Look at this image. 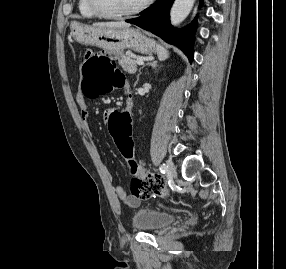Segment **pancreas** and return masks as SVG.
Returning <instances> with one entry per match:
<instances>
[{
    "label": "pancreas",
    "instance_id": "pancreas-1",
    "mask_svg": "<svg viewBox=\"0 0 286 269\" xmlns=\"http://www.w3.org/2000/svg\"><path fill=\"white\" fill-rule=\"evenodd\" d=\"M119 65L123 68L124 71L134 74L137 70V64L130 55H122L118 60Z\"/></svg>",
    "mask_w": 286,
    "mask_h": 269
}]
</instances>
